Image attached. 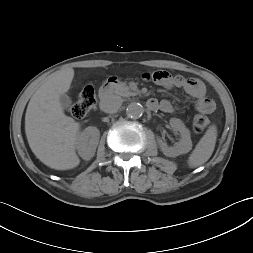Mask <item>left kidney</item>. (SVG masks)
I'll return each mask as SVG.
<instances>
[{"label":"left kidney","instance_id":"obj_1","mask_svg":"<svg viewBox=\"0 0 253 253\" xmlns=\"http://www.w3.org/2000/svg\"><path fill=\"white\" fill-rule=\"evenodd\" d=\"M170 125L175 131L180 132L181 139L173 147H168L166 143L159 140L158 144L160 150L165 156L168 157H176L189 152L192 148V141L189 130L185 127L184 123L177 118H171Z\"/></svg>","mask_w":253,"mask_h":253}]
</instances>
